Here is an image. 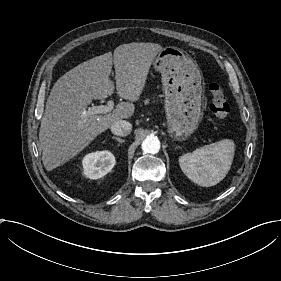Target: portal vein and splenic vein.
I'll list each match as a JSON object with an SVG mask.
<instances>
[{
    "mask_svg": "<svg viewBox=\"0 0 281 281\" xmlns=\"http://www.w3.org/2000/svg\"><path fill=\"white\" fill-rule=\"evenodd\" d=\"M113 110H114V102L108 101L106 105H99V106H94L92 108H89L88 110H86L84 112L83 117L87 118L94 114L111 113Z\"/></svg>",
    "mask_w": 281,
    "mask_h": 281,
    "instance_id": "1",
    "label": "portal vein and splenic vein"
}]
</instances>
